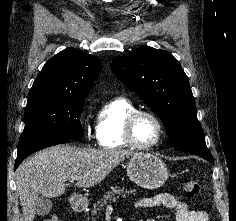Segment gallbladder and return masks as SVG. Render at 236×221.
Returning a JSON list of instances; mask_svg holds the SVG:
<instances>
[{"label":"gallbladder","instance_id":"obj_1","mask_svg":"<svg viewBox=\"0 0 236 221\" xmlns=\"http://www.w3.org/2000/svg\"><path fill=\"white\" fill-rule=\"evenodd\" d=\"M52 205L51 199L39 196L36 201V214L39 216H45L49 214L52 209Z\"/></svg>","mask_w":236,"mask_h":221}]
</instances>
